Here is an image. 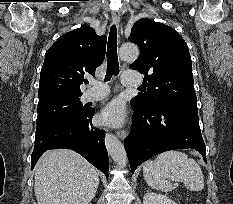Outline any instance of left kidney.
Masks as SVG:
<instances>
[{
	"label": "left kidney",
	"instance_id": "5707ae66",
	"mask_svg": "<svg viewBox=\"0 0 233 204\" xmlns=\"http://www.w3.org/2000/svg\"><path fill=\"white\" fill-rule=\"evenodd\" d=\"M143 204H177L166 195L148 192L144 195Z\"/></svg>",
	"mask_w": 233,
	"mask_h": 204
}]
</instances>
